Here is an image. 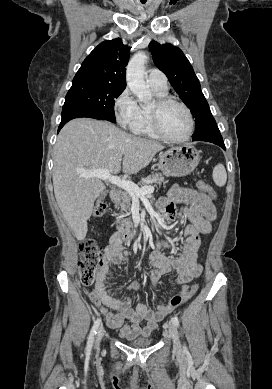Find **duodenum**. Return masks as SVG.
I'll return each instance as SVG.
<instances>
[{"label": "duodenum", "instance_id": "410a0bca", "mask_svg": "<svg viewBox=\"0 0 272 389\" xmlns=\"http://www.w3.org/2000/svg\"><path fill=\"white\" fill-rule=\"evenodd\" d=\"M110 197L113 200V202L118 203L120 201V193L116 190H112L110 192ZM115 236L119 241H133L139 236V232L135 230H125V229H119Z\"/></svg>", "mask_w": 272, "mask_h": 389}]
</instances>
